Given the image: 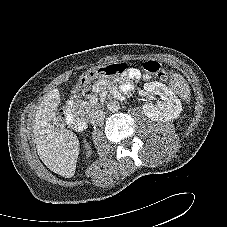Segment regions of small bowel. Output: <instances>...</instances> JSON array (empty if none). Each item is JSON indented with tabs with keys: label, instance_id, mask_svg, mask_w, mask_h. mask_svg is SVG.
<instances>
[{
	"label": "small bowel",
	"instance_id": "1",
	"mask_svg": "<svg viewBox=\"0 0 227 227\" xmlns=\"http://www.w3.org/2000/svg\"><path fill=\"white\" fill-rule=\"evenodd\" d=\"M128 76L131 77V78H134V79H137V78H140V72L136 69H131L129 72H128ZM104 87V82H98L96 85H95V89L96 90H101L102 88Z\"/></svg>",
	"mask_w": 227,
	"mask_h": 227
}]
</instances>
